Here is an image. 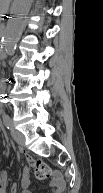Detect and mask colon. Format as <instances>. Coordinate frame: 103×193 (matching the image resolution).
<instances>
[{
    "label": "colon",
    "mask_w": 103,
    "mask_h": 193,
    "mask_svg": "<svg viewBox=\"0 0 103 193\" xmlns=\"http://www.w3.org/2000/svg\"><path fill=\"white\" fill-rule=\"evenodd\" d=\"M31 165L34 170L35 177L39 180H46L54 176L51 168L42 161H32Z\"/></svg>",
    "instance_id": "obj_1"
}]
</instances>
